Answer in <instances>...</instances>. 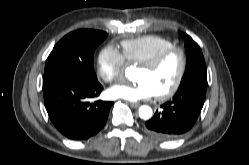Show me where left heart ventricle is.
I'll list each match as a JSON object with an SVG mask.
<instances>
[{"label": "left heart ventricle", "instance_id": "obj_1", "mask_svg": "<svg viewBox=\"0 0 249 165\" xmlns=\"http://www.w3.org/2000/svg\"><path fill=\"white\" fill-rule=\"evenodd\" d=\"M180 66L178 54H172L155 71L137 68L134 74L136 80H143L150 84L155 94L167 90L174 82Z\"/></svg>", "mask_w": 249, "mask_h": 165}]
</instances>
